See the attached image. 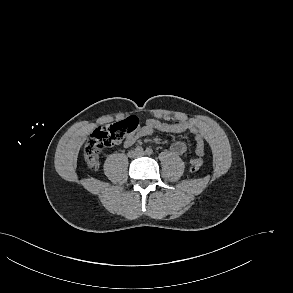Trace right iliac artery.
Returning <instances> with one entry per match:
<instances>
[{"label": "right iliac artery", "mask_w": 293, "mask_h": 293, "mask_svg": "<svg viewBox=\"0 0 293 293\" xmlns=\"http://www.w3.org/2000/svg\"><path fill=\"white\" fill-rule=\"evenodd\" d=\"M135 150H136V152L139 153V152L143 151V148H142V146H137Z\"/></svg>", "instance_id": "obj_1"}]
</instances>
